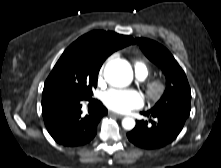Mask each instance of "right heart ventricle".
Returning <instances> with one entry per match:
<instances>
[{
	"mask_svg": "<svg viewBox=\"0 0 221 168\" xmlns=\"http://www.w3.org/2000/svg\"><path fill=\"white\" fill-rule=\"evenodd\" d=\"M134 69L136 76H143L144 78H146L150 72V69L147 66V64L141 60H136L134 62Z\"/></svg>",
	"mask_w": 221,
	"mask_h": 168,
	"instance_id": "e07e8e85",
	"label": "right heart ventricle"
}]
</instances>
